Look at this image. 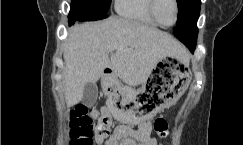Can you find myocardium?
I'll list each match as a JSON object with an SVG mask.
<instances>
[{"label":"myocardium","mask_w":243,"mask_h":145,"mask_svg":"<svg viewBox=\"0 0 243 145\" xmlns=\"http://www.w3.org/2000/svg\"><path fill=\"white\" fill-rule=\"evenodd\" d=\"M158 2H159V0H150L149 10H150L151 16L162 27L168 28V27L174 26L177 23L178 16H179V5H178V1L177 0H172V2L174 4V8H175V17H174L173 23L170 24V25L164 24L159 19L158 14H157V4H158Z\"/></svg>","instance_id":"myocardium-1"}]
</instances>
